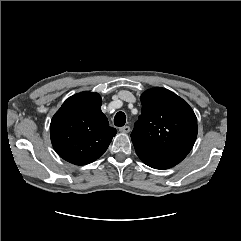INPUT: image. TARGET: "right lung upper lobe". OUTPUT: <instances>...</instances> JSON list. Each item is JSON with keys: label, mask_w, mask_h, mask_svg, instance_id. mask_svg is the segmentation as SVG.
Instances as JSON below:
<instances>
[{"label": "right lung upper lobe", "mask_w": 241, "mask_h": 241, "mask_svg": "<svg viewBox=\"0 0 241 241\" xmlns=\"http://www.w3.org/2000/svg\"><path fill=\"white\" fill-rule=\"evenodd\" d=\"M101 103L98 93H78L69 97L53 116L51 142L61 158L75 165H85L107 150L116 129L109 127Z\"/></svg>", "instance_id": "right-lung-upper-lobe-1"}]
</instances>
